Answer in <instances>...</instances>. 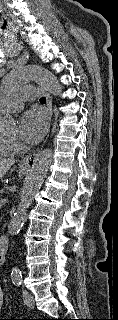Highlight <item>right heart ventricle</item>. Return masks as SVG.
I'll use <instances>...</instances> for the list:
<instances>
[{
	"label": "right heart ventricle",
	"instance_id": "e07e8e85",
	"mask_svg": "<svg viewBox=\"0 0 118 320\" xmlns=\"http://www.w3.org/2000/svg\"><path fill=\"white\" fill-rule=\"evenodd\" d=\"M13 151V147L10 143V139L0 133V156L10 155Z\"/></svg>",
	"mask_w": 118,
	"mask_h": 320
}]
</instances>
